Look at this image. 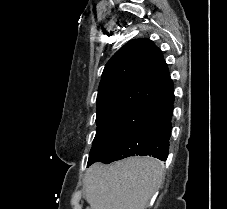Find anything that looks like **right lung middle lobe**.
<instances>
[{
	"label": "right lung middle lobe",
	"instance_id": "1",
	"mask_svg": "<svg viewBox=\"0 0 227 209\" xmlns=\"http://www.w3.org/2000/svg\"><path fill=\"white\" fill-rule=\"evenodd\" d=\"M150 110L151 106L129 98L108 101L105 109L96 117V135L87 166L101 162L135 133L145 122Z\"/></svg>",
	"mask_w": 227,
	"mask_h": 209
}]
</instances>
